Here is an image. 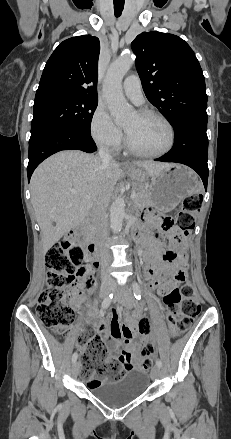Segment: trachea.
<instances>
[{"label": "trachea", "instance_id": "1", "mask_svg": "<svg viewBox=\"0 0 231 439\" xmlns=\"http://www.w3.org/2000/svg\"><path fill=\"white\" fill-rule=\"evenodd\" d=\"M123 9H124V2L123 3L114 2V12L116 17H119L121 15Z\"/></svg>", "mask_w": 231, "mask_h": 439}]
</instances>
